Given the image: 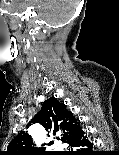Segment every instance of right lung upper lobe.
I'll list each match as a JSON object with an SVG mask.
<instances>
[{
	"label": "right lung upper lobe",
	"instance_id": "obj_1",
	"mask_svg": "<svg viewBox=\"0 0 119 155\" xmlns=\"http://www.w3.org/2000/svg\"><path fill=\"white\" fill-rule=\"evenodd\" d=\"M41 124L48 132L61 134V139L66 142L74 133L81 129L79 120L72 112L68 111L65 104L52 97L44 101L41 110L35 118L27 124ZM53 142H50L51 145ZM4 155H55L54 152L45 151L44 148L38 150L34 147L31 136L21 131L8 145Z\"/></svg>",
	"mask_w": 119,
	"mask_h": 155
}]
</instances>
